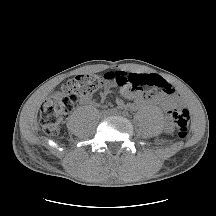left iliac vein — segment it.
<instances>
[{"label": "left iliac vein", "mask_w": 216, "mask_h": 216, "mask_svg": "<svg viewBox=\"0 0 216 216\" xmlns=\"http://www.w3.org/2000/svg\"><path fill=\"white\" fill-rule=\"evenodd\" d=\"M113 115H119V113H115V114H113Z\"/></svg>", "instance_id": "left-iliac-vein-1"}]
</instances>
